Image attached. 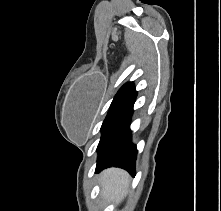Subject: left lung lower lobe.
<instances>
[{
    "mask_svg": "<svg viewBox=\"0 0 221 211\" xmlns=\"http://www.w3.org/2000/svg\"><path fill=\"white\" fill-rule=\"evenodd\" d=\"M134 101L117 114L102 132L97 147L96 172L114 166L135 175L137 149L131 142L129 128Z\"/></svg>",
    "mask_w": 221,
    "mask_h": 211,
    "instance_id": "obj_1",
    "label": "left lung lower lobe"
}]
</instances>
